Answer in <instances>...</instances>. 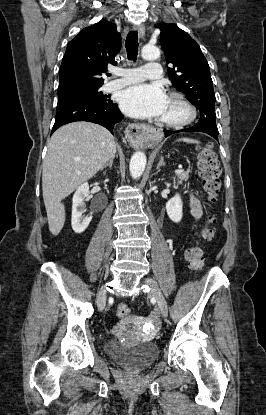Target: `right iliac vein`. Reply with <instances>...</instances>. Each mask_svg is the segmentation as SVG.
I'll list each match as a JSON object with an SVG mask.
<instances>
[{
    "instance_id": "obj_1",
    "label": "right iliac vein",
    "mask_w": 266,
    "mask_h": 415,
    "mask_svg": "<svg viewBox=\"0 0 266 415\" xmlns=\"http://www.w3.org/2000/svg\"><path fill=\"white\" fill-rule=\"evenodd\" d=\"M106 300V291L105 289H101L98 295V304H104Z\"/></svg>"
}]
</instances>
